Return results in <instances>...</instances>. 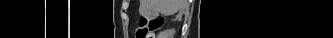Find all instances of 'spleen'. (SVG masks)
I'll use <instances>...</instances> for the list:
<instances>
[{"label": "spleen", "instance_id": "3e777b00", "mask_svg": "<svg viewBox=\"0 0 333 38\" xmlns=\"http://www.w3.org/2000/svg\"><path fill=\"white\" fill-rule=\"evenodd\" d=\"M162 12L166 14V13H168V9L166 7H164Z\"/></svg>", "mask_w": 333, "mask_h": 38}]
</instances>
